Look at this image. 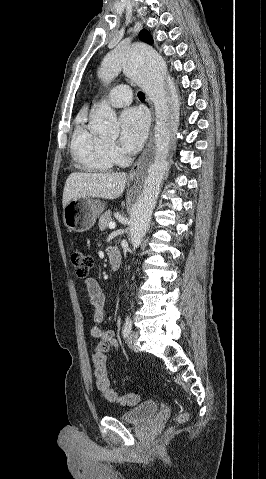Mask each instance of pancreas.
<instances>
[{"label": "pancreas", "instance_id": "1", "mask_svg": "<svg viewBox=\"0 0 266 479\" xmlns=\"http://www.w3.org/2000/svg\"><path fill=\"white\" fill-rule=\"evenodd\" d=\"M110 222H112L111 212L106 211L103 215H101L99 219V223H98L99 229L100 230L106 229Z\"/></svg>", "mask_w": 266, "mask_h": 479}]
</instances>
